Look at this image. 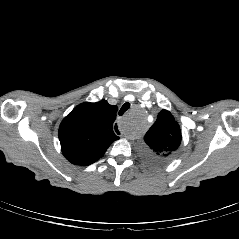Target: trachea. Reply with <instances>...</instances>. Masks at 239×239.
I'll return each instance as SVG.
<instances>
[{"instance_id": "3493384b", "label": "trachea", "mask_w": 239, "mask_h": 239, "mask_svg": "<svg viewBox=\"0 0 239 239\" xmlns=\"http://www.w3.org/2000/svg\"><path fill=\"white\" fill-rule=\"evenodd\" d=\"M129 107H130V103H125V104L121 107V109H120V111H119V115L122 116V115L129 109Z\"/></svg>"}]
</instances>
